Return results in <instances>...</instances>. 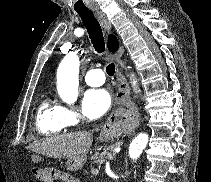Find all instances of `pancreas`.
<instances>
[{"mask_svg":"<svg viewBox=\"0 0 211 182\" xmlns=\"http://www.w3.org/2000/svg\"><path fill=\"white\" fill-rule=\"evenodd\" d=\"M117 145H112L108 148H106L104 151L102 152H98L95 153L92 157V164H97V165H101L103 163H105V161L108 160H113L116 158V153H115V149H116Z\"/></svg>","mask_w":211,"mask_h":182,"instance_id":"pancreas-1","label":"pancreas"}]
</instances>
